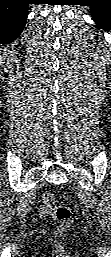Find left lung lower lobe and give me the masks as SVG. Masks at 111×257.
<instances>
[{"label": "left lung lower lobe", "instance_id": "left-lung-lower-lobe-1", "mask_svg": "<svg viewBox=\"0 0 111 257\" xmlns=\"http://www.w3.org/2000/svg\"><path fill=\"white\" fill-rule=\"evenodd\" d=\"M91 6V14L96 24L104 29H111V0H95Z\"/></svg>", "mask_w": 111, "mask_h": 257}]
</instances>
